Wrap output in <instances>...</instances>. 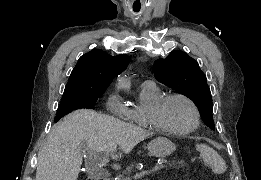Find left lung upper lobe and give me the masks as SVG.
<instances>
[{"instance_id":"left-lung-upper-lobe-1","label":"left lung upper lobe","mask_w":261,"mask_h":180,"mask_svg":"<svg viewBox=\"0 0 261 180\" xmlns=\"http://www.w3.org/2000/svg\"><path fill=\"white\" fill-rule=\"evenodd\" d=\"M154 75L159 82L190 98L198 107L203 122L215 130L211 92L197 61L175 50L167 58L155 61Z\"/></svg>"}]
</instances>
